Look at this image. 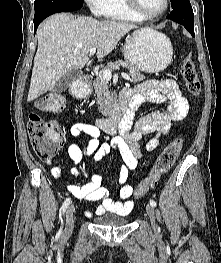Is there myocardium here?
I'll return each instance as SVG.
<instances>
[{"mask_svg":"<svg viewBox=\"0 0 221 263\" xmlns=\"http://www.w3.org/2000/svg\"><path fill=\"white\" fill-rule=\"evenodd\" d=\"M127 6L142 20H151V19H156L160 16H162L168 9L169 7V0H165L163 8L153 14H146L142 11L138 0H125Z\"/></svg>","mask_w":221,"mask_h":263,"instance_id":"1","label":"myocardium"}]
</instances>
